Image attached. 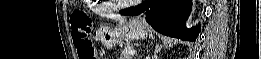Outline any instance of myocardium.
<instances>
[{
  "instance_id": "obj_1",
  "label": "myocardium",
  "mask_w": 261,
  "mask_h": 59,
  "mask_svg": "<svg viewBox=\"0 0 261 59\" xmlns=\"http://www.w3.org/2000/svg\"><path fill=\"white\" fill-rule=\"evenodd\" d=\"M109 4H110L111 8L116 9V10L126 8L129 6L128 3H117L115 1H109Z\"/></svg>"
}]
</instances>
